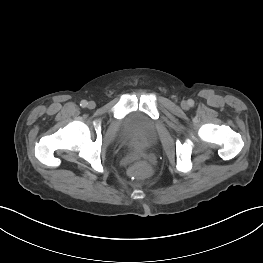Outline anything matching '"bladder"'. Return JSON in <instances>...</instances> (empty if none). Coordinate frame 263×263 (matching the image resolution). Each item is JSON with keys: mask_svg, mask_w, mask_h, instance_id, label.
<instances>
[{"mask_svg": "<svg viewBox=\"0 0 263 263\" xmlns=\"http://www.w3.org/2000/svg\"><path fill=\"white\" fill-rule=\"evenodd\" d=\"M157 133L152 119L141 112L128 114L122 123L120 139L129 145L148 147L156 140Z\"/></svg>", "mask_w": 263, "mask_h": 263, "instance_id": "31cf9c89", "label": "bladder"}]
</instances>
